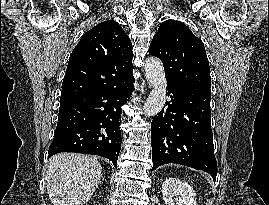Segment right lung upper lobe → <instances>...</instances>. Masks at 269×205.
<instances>
[{"label": "right lung upper lobe", "instance_id": "1", "mask_svg": "<svg viewBox=\"0 0 269 205\" xmlns=\"http://www.w3.org/2000/svg\"><path fill=\"white\" fill-rule=\"evenodd\" d=\"M132 44L113 20L86 32L71 53L61 101L116 88L132 72Z\"/></svg>", "mask_w": 269, "mask_h": 205}]
</instances>
